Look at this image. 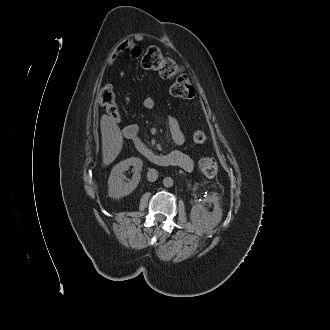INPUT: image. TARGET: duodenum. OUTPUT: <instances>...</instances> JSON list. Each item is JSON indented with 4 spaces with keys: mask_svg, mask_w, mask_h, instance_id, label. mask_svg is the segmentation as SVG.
Here are the masks:
<instances>
[{
    "mask_svg": "<svg viewBox=\"0 0 330 330\" xmlns=\"http://www.w3.org/2000/svg\"><path fill=\"white\" fill-rule=\"evenodd\" d=\"M124 136L127 139H133L136 136L135 128L128 126L124 130ZM140 152L153 164L161 167L170 166L165 155L155 153L148 149L143 143H137Z\"/></svg>",
    "mask_w": 330,
    "mask_h": 330,
    "instance_id": "410a0bca",
    "label": "duodenum"
}]
</instances>
